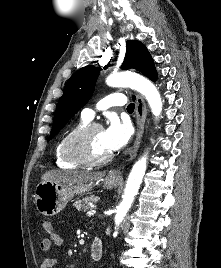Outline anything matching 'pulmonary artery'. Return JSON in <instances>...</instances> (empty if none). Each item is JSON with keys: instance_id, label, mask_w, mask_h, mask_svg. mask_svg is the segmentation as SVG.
<instances>
[{"instance_id": "obj_1", "label": "pulmonary artery", "mask_w": 221, "mask_h": 268, "mask_svg": "<svg viewBox=\"0 0 221 268\" xmlns=\"http://www.w3.org/2000/svg\"><path fill=\"white\" fill-rule=\"evenodd\" d=\"M126 103V97L121 93H112L101 100L97 106L99 110L107 109L112 106H123ZM95 110L85 108L82 110L81 115L86 120H93L95 117Z\"/></svg>"}]
</instances>
